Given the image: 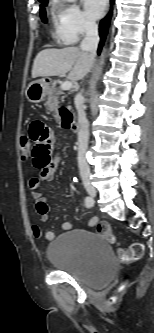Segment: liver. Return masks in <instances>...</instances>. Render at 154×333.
<instances>
[{
	"mask_svg": "<svg viewBox=\"0 0 154 333\" xmlns=\"http://www.w3.org/2000/svg\"><path fill=\"white\" fill-rule=\"evenodd\" d=\"M92 65L90 54L79 47L44 49L34 59L32 78L62 76L69 72L68 78L82 79Z\"/></svg>",
	"mask_w": 154,
	"mask_h": 333,
	"instance_id": "1",
	"label": "liver"
}]
</instances>
